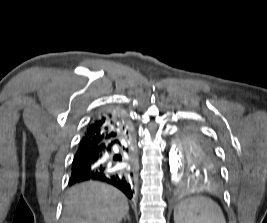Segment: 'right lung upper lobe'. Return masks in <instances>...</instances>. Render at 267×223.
Returning <instances> with one entry per match:
<instances>
[{
    "label": "right lung upper lobe",
    "instance_id": "1",
    "mask_svg": "<svg viewBox=\"0 0 267 223\" xmlns=\"http://www.w3.org/2000/svg\"><path fill=\"white\" fill-rule=\"evenodd\" d=\"M130 125L127 114L121 109H107L95 114L87 126L80 142L79 149L98 145L115 139Z\"/></svg>",
    "mask_w": 267,
    "mask_h": 223
}]
</instances>
